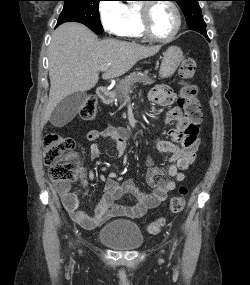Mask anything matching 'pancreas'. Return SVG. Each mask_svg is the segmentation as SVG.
<instances>
[{"mask_svg":"<svg viewBox=\"0 0 250 285\" xmlns=\"http://www.w3.org/2000/svg\"><path fill=\"white\" fill-rule=\"evenodd\" d=\"M135 83H142L143 85H151L154 83L153 78L148 75V72H132L120 81L114 91L115 98L121 102L125 95L131 90Z\"/></svg>","mask_w":250,"mask_h":285,"instance_id":"1","label":"pancreas"}]
</instances>
